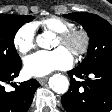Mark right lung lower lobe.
<instances>
[{"label": "right lung lower lobe", "instance_id": "right-lung-lower-lobe-1", "mask_svg": "<svg viewBox=\"0 0 112 112\" xmlns=\"http://www.w3.org/2000/svg\"><path fill=\"white\" fill-rule=\"evenodd\" d=\"M22 62L19 61L0 74V112H27L34 93L40 86L37 80L31 79L17 85L11 83L14 90L7 92L4 84H9L11 80L19 75Z\"/></svg>", "mask_w": 112, "mask_h": 112}]
</instances>
